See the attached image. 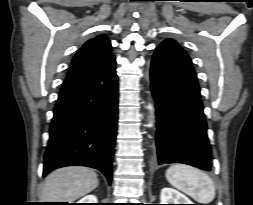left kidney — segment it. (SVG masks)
Segmentation results:
<instances>
[{"mask_svg": "<svg viewBox=\"0 0 253 205\" xmlns=\"http://www.w3.org/2000/svg\"><path fill=\"white\" fill-rule=\"evenodd\" d=\"M160 201L161 204H193L187 196L168 187L161 190Z\"/></svg>", "mask_w": 253, "mask_h": 205, "instance_id": "1", "label": "left kidney"}]
</instances>
